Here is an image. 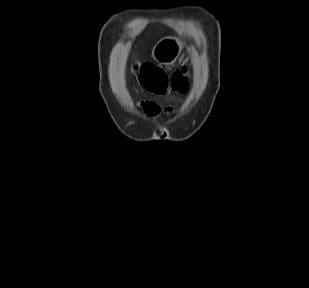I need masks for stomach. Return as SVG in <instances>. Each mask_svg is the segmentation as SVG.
Masks as SVG:
<instances>
[{
    "label": "stomach",
    "instance_id": "0dacf381",
    "mask_svg": "<svg viewBox=\"0 0 309 288\" xmlns=\"http://www.w3.org/2000/svg\"><path fill=\"white\" fill-rule=\"evenodd\" d=\"M182 42L179 38L169 36L162 38L152 50V58L158 63L170 65L179 57Z\"/></svg>",
    "mask_w": 309,
    "mask_h": 288
}]
</instances>
